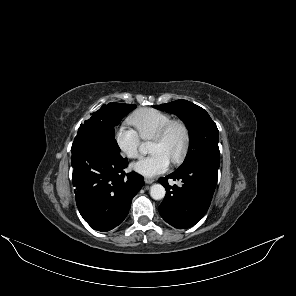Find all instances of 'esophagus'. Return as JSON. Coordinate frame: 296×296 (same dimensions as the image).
<instances>
[{
    "label": "esophagus",
    "instance_id": "34e87169",
    "mask_svg": "<svg viewBox=\"0 0 296 296\" xmlns=\"http://www.w3.org/2000/svg\"><path fill=\"white\" fill-rule=\"evenodd\" d=\"M144 181L146 184H152L155 180L152 178H145Z\"/></svg>",
    "mask_w": 296,
    "mask_h": 296
}]
</instances>
